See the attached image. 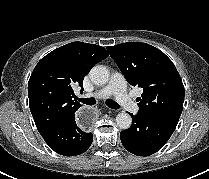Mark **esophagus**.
Instances as JSON below:
<instances>
[{"instance_id": "1", "label": "esophagus", "mask_w": 209, "mask_h": 179, "mask_svg": "<svg viewBox=\"0 0 209 179\" xmlns=\"http://www.w3.org/2000/svg\"><path fill=\"white\" fill-rule=\"evenodd\" d=\"M97 114L93 108L79 109L74 113L75 123L83 130H90L94 126Z\"/></svg>"}]
</instances>
